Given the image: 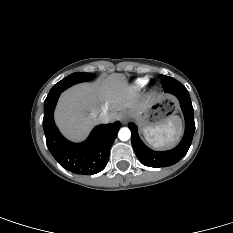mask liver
Here are the masks:
<instances>
[{
  "label": "liver",
  "instance_id": "6515ba94",
  "mask_svg": "<svg viewBox=\"0 0 233 233\" xmlns=\"http://www.w3.org/2000/svg\"><path fill=\"white\" fill-rule=\"evenodd\" d=\"M151 103L150 98H141L124 75L115 73L103 81L78 84L66 90L59 99L55 122L67 138L80 141L99 123L100 113H108L111 121H115L119 111L131 109L140 114Z\"/></svg>",
  "mask_w": 233,
  "mask_h": 233
}]
</instances>
